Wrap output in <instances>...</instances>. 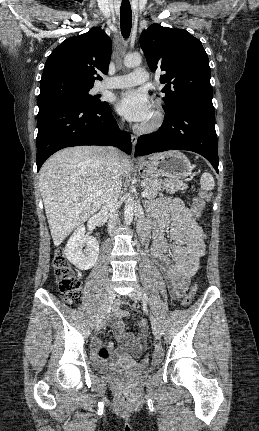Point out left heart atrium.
Returning a JSON list of instances; mask_svg holds the SVG:
<instances>
[{"instance_id":"39dd6f15","label":"left heart atrium","mask_w":259,"mask_h":431,"mask_svg":"<svg viewBox=\"0 0 259 431\" xmlns=\"http://www.w3.org/2000/svg\"><path fill=\"white\" fill-rule=\"evenodd\" d=\"M116 110L127 120L145 123L152 115V103L149 96L140 90L123 92L115 104Z\"/></svg>"}]
</instances>
